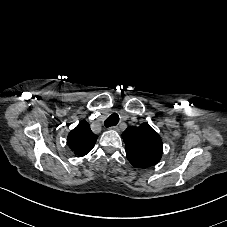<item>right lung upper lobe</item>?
Returning <instances> with one entry per match:
<instances>
[{
	"instance_id": "1",
	"label": "right lung upper lobe",
	"mask_w": 227,
	"mask_h": 227,
	"mask_svg": "<svg viewBox=\"0 0 227 227\" xmlns=\"http://www.w3.org/2000/svg\"><path fill=\"white\" fill-rule=\"evenodd\" d=\"M98 136L85 120H82L68 135L67 145L78 157H83L94 147Z\"/></svg>"
}]
</instances>
